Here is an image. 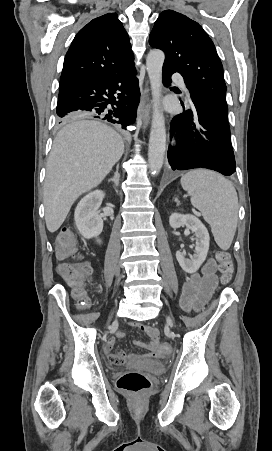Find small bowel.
Segmentation results:
<instances>
[{"instance_id": "obj_1", "label": "small bowel", "mask_w": 272, "mask_h": 451, "mask_svg": "<svg viewBox=\"0 0 272 451\" xmlns=\"http://www.w3.org/2000/svg\"><path fill=\"white\" fill-rule=\"evenodd\" d=\"M216 270V261L215 259H208L206 263L204 264L202 268V276L200 274H193L191 275L188 280L186 281L184 288H183V294L181 298V305L182 307L187 310H198L202 304L205 301V298L203 294L201 293V289H203V284L206 282V280L213 276L214 272ZM141 330L145 332L150 338V343H143L140 341H137L135 344L137 347L141 349H151L156 343L158 339V335L155 330L141 326ZM115 339L114 338H108L105 341L104 345V353L107 356L108 359V353L113 352V348L115 346ZM118 352H125L123 350Z\"/></svg>"}]
</instances>
